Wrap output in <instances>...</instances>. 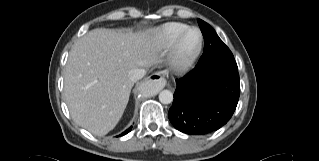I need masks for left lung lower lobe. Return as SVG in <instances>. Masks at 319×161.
<instances>
[{
  "label": "left lung lower lobe",
  "mask_w": 319,
  "mask_h": 161,
  "mask_svg": "<svg viewBox=\"0 0 319 161\" xmlns=\"http://www.w3.org/2000/svg\"><path fill=\"white\" fill-rule=\"evenodd\" d=\"M168 117L179 131L203 135L216 131L232 117L240 95L238 67L196 66L176 79Z\"/></svg>",
  "instance_id": "1"
}]
</instances>
